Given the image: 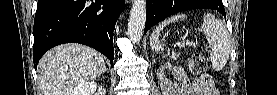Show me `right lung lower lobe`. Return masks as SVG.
Masks as SVG:
<instances>
[{
	"mask_svg": "<svg viewBox=\"0 0 277 95\" xmlns=\"http://www.w3.org/2000/svg\"><path fill=\"white\" fill-rule=\"evenodd\" d=\"M125 0H38L34 19L33 62L52 47L80 43L109 58L113 65V31Z\"/></svg>",
	"mask_w": 277,
	"mask_h": 95,
	"instance_id": "obj_1",
	"label": "right lung lower lobe"
}]
</instances>
